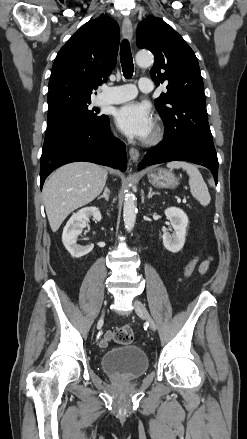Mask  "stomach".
Masks as SVG:
<instances>
[{
	"mask_svg": "<svg viewBox=\"0 0 247 439\" xmlns=\"http://www.w3.org/2000/svg\"><path fill=\"white\" fill-rule=\"evenodd\" d=\"M147 176L149 182L158 188H175L178 185L177 177L172 171L164 168H153Z\"/></svg>",
	"mask_w": 247,
	"mask_h": 439,
	"instance_id": "1",
	"label": "stomach"
}]
</instances>
